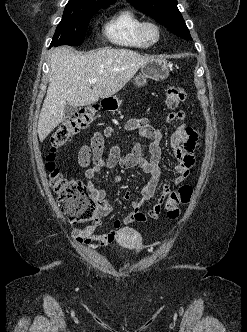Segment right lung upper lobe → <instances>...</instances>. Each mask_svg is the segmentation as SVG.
Here are the masks:
<instances>
[{
	"label": "right lung upper lobe",
	"instance_id": "right-lung-upper-lobe-1",
	"mask_svg": "<svg viewBox=\"0 0 247 332\" xmlns=\"http://www.w3.org/2000/svg\"><path fill=\"white\" fill-rule=\"evenodd\" d=\"M116 0H70L69 4L76 5H106L113 4Z\"/></svg>",
	"mask_w": 247,
	"mask_h": 332
}]
</instances>
